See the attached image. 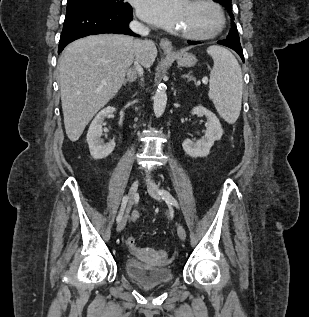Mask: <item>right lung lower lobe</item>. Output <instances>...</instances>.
<instances>
[{
	"label": "right lung lower lobe",
	"mask_w": 309,
	"mask_h": 317,
	"mask_svg": "<svg viewBox=\"0 0 309 317\" xmlns=\"http://www.w3.org/2000/svg\"><path fill=\"white\" fill-rule=\"evenodd\" d=\"M132 18V10L118 11L92 6L68 5L58 53L70 42L88 35L103 33L135 35L128 27Z\"/></svg>",
	"instance_id": "1"
}]
</instances>
